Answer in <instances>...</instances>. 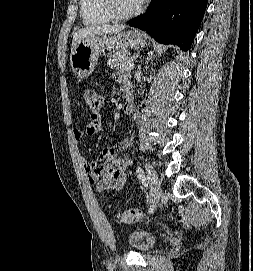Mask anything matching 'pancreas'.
Masks as SVG:
<instances>
[{
    "mask_svg": "<svg viewBox=\"0 0 253 271\" xmlns=\"http://www.w3.org/2000/svg\"><path fill=\"white\" fill-rule=\"evenodd\" d=\"M131 61H132V58L128 56V52L121 50V51H117L116 53L110 56L107 62V65L111 69L122 71L123 65H126Z\"/></svg>",
    "mask_w": 253,
    "mask_h": 271,
    "instance_id": "pancreas-1",
    "label": "pancreas"
}]
</instances>
